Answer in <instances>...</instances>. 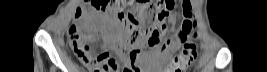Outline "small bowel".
<instances>
[{
	"label": "small bowel",
	"instance_id": "1",
	"mask_svg": "<svg viewBox=\"0 0 267 72\" xmlns=\"http://www.w3.org/2000/svg\"><path fill=\"white\" fill-rule=\"evenodd\" d=\"M168 24L174 28L178 24V17L176 14H171L168 18ZM103 25L115 29L116 24L111 19H105ZM185 40L181 36V30L177 32L175 41H171L167 49L161 50L160 46H156L151 51H139L137 53L129 54L130 69L128 72H171V64L176 56L174 52L179 48L180 43ZM69 45L80 59L73 44L69 41ZM112 45L117 47H125L126 41L123 35L118 32L112 34ZM90 71L92 69L87 67ZM97 72V71H92Z\"/></svg>",
	"mask_w": 267,
	"mask_h": 72
}]
</instances>
